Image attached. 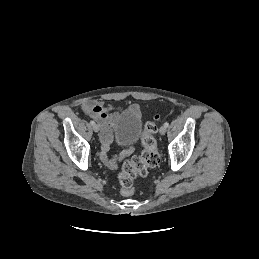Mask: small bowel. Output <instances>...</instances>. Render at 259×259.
I'll list each match as a JSON object with an SVG mask.
<instances>
[{
  "mask_svg": "<svg viewBox=\"0 0 259 259\" xmlns=\"http://www.w3.org/2000/svg\"><path fill=\"white\" fill-rule=\"evenodd\" d=\"M82 109L87 115L95 119L101 127L102 161L108 168L116 169L118 162L125 156L130 155L133 152V148H129L123 151L120 155L112 158L107 156V151L112 141V128L116 120V115L112 111V106L105 104L102 101L90 99L82 104ZM130 110L135 115L140 114V108L136 104L130 106Z\"/></svg>",
  "mask_w": 259,
  "mask_h": 259,
  "instance_id": "1",
  "label": "small bowel"
}]
</instances>
